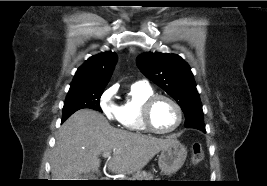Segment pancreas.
I'll return each instance as SVG.
<instances>
[{"label": "pancreas", "instance_id": "cf45deb5", "mask_svg": "<svg viewBox=\"0 0 267 186\" xmlns=\"http://www.w3.org/2000/svg\"><path fill=\"white\" fill-rule=\"evenodd\" d=\"M130 180H137V181H159V179H154V175L151 173H147L145 171L136 173L132 176Z\"/></svg>", "mask_w": 267, "mask_h": 186}]
</instances>
